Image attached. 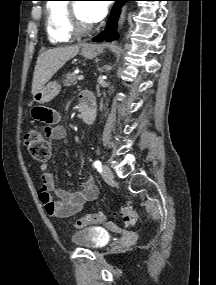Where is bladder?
<instances>
[{
    "instance_id": "obj_1",
    "label": "bladder",
    "mask_w": 216,
    "mask_h": 285,
    "mask_svg": "<svg viewBox=\"0 0 216 285\" xmlns=\"http://www.w3.org/2000/svg\"><path fill=\"white\" fill-rule=\"evenodd\" d=\"M72 242L87 249L103 248L110 240L108 231L102 227H86L77 230L71 238Z\"/></svg>"
}]
</instances>
